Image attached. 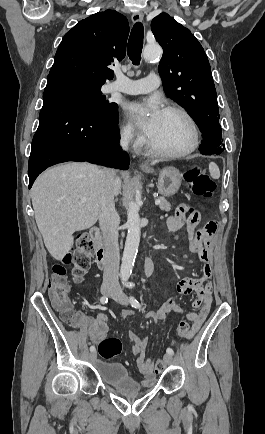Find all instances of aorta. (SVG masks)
I'll return each mask as SVG.
<instances>
[{
	"label": "aorta",
	"instance_id": "1",
	"mask_svg": "<svg viewBox=\"0 0 265 434\" xmlns=\"http://www.w3.org/2000/svg\"><path fill=\"white\" fill-rule=\"evenodd\" d=\"M142 54L144 60L149 62V60H154L157 56H161V48L145 46ZM127 228V238L120 268V278L122 282H127L131 276L141 236L139 206H137L136 202H133V200L132 202H128L127 206Z\"/></svg>",
	"mask_w": 265,
	"mask_h": 434
}]
</instances>
